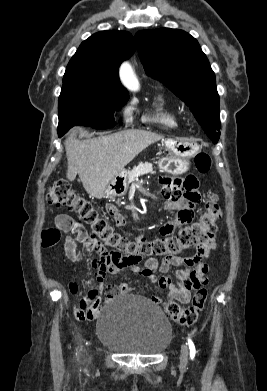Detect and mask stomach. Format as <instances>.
Masks as SVG:
<instances>
[{"mask_svg":"<svg viewBox=\"0 0 267 391\" xmlns=\"http://www.w3.org/2000/svg\"><path fill=\"white\" fill-rule=\"evenodd\" d=\"M166 155L158 162L161 172H169L171 175H181L189 169V160L200 150L198 144L185 140L167 139L163 142ZM129 172L125 169L120 171L107 184L104 189V198L121 197L128 190Z\"/></svg>","mask_w":267,"mask_h":391,"instance_id":"stomach-1","label":"stomach"}]
</instances>
